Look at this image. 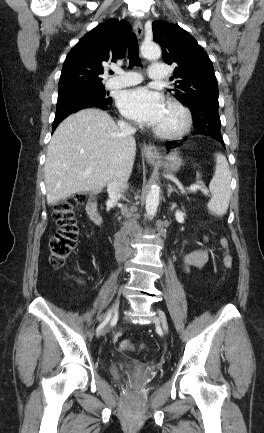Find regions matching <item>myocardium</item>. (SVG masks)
I'll use <instances>...</instances> for the list:
<instances>
[{"instance_id":"f54148a6","label":"myocardium","mask_w":264,"mask_h":433,"mask_svg":"<svg viewBox=\"0 0 264 433\" xmlns=\"http://www.w3.org/2000/svg\"><path fill=\"white\" fill-rule=\"evenodd\" d=\"M167 107L176 111L180 115V123L172 129H162L155 127L153 129V132L155 133V135L163 139L180 138L185 135L190 129L192 125V114L186 106L176 100L168 101Z\"/></svg>"}]
</instances>
